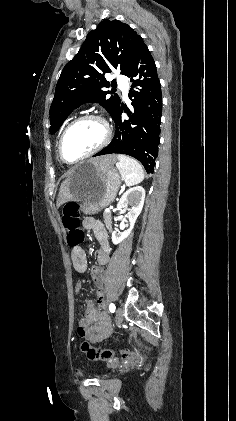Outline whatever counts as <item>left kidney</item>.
<instances>
[{
  "label": "left kidney",
  "mask_w": 236,
  "mask_h": 421,
  "mask_svg": "<svg viewBox=\"0 0 236 421\" xmlns=\"http://www.w3.org/2000/svg\"><path fill=\"white\" fill-rule=\"evenodd\" d=\"M145 200V190L143 186H133V188H128L124 194H122L118 204H117V211H128L127 219L130 223L129 229L124 231V233H120V231H113L112 233V243L114 245H118L124 239L129 237L134 223H136L137 217H139L143 204ZM127 204H130V208H126ZM115 221H118L117 217H115Z\"/></svg>",
  "instance_id": "5707ae66"
}]
</instances>
